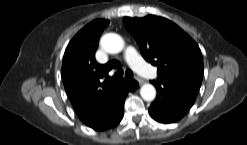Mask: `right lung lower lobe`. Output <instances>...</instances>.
I'll return each mask as SVG.
<instances>
[{
    "label": "right lung lower lobe",
    "instance_id": "right-lung-lower-lobe-1",
    "mask_svg": "<svg viewBox=\"0 0 247 145\" xmlns=\"http://www.w3.org/2000/svg\"><path fill=\"white\" fill-rule=\"evenodd\" d=\"M137 87L138 83L135 80L125 79L119 86L111 105L84 123L90 128L99 131L110 129L119 124L123 117L125 98L128 92H133Z\"/></svg>",
    "mask_w": 247,
    "mask_h": 145
}]
</instances>
